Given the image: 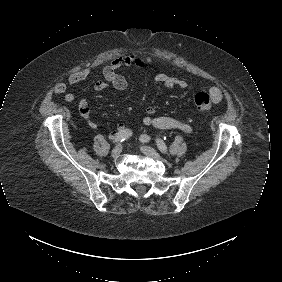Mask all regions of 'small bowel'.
Instances as JSON below:
<instances>
[{"instance_id": "obj_1", "label": "small bowel", "mask_w": 282, "mask_h": 282, "mask_svg": "<svg viewBox=\"0 0 282 282\" xmlns=\"http://www.w3.org/2000/svg\"><path fill=\"white\" fill-rule=\"evenodd\" d=\"M153 66V61L150 57L142 53H133L128 55H120L112 60L103 70V80H99L94 84L93 91L99 94L108 88L110 85L117 89H124L127 87V81L119 74L123 67H137L148 68ZM91 74V68H85L80 71L74 72L69 75L65 82H59L53 87V92L56 95H64V100L71 103L75 100L72 93L67 92L70 86L76 85L84 81ZM154 82L166 88H182L188 87V82L182 78L171 76L165 73H158L154 76ZM211 101L215 104L222 100V91L218 87H211L209 89ZM78 109L81 116L88 122L92 129H97V123L91 118L90 107L85 99H81L78 104ZM143 124L149 128L162 129V130H179L187 134L193 132V127L178 118L171 116H156L155 109L148 107L146 116L143 118ZM125 129L124 124H120L118 128L111 132L110 137H116L120 132Z\"/></svg>"}]
</instances>
